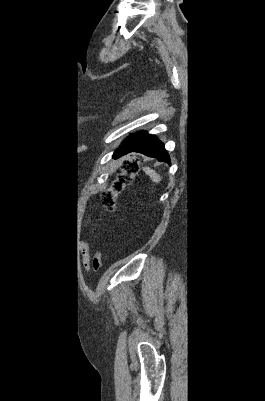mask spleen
<instances>
[{
  "label": "spleen",
  "instance_id": "spleen-1",
  "mask_svg": "<svg viewBox=\"0 0 265 401\" xmlns=\"http://www.w3.org/2000/svg\"><path fill=\"white\" fill-rule=\"evenodd\" d=\"M143 170H145L146 174H149L153 182H160L161 176L157 174L156 170H152V168H148V166H144Z\"/></svg>",
  "mask_w": 265,
  "mask_h": 401
}]
</instances>
